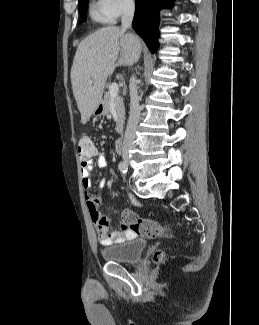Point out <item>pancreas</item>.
<instances>
[{
    "label": "pancreas",
    "instance_id": "cf45deb5",
    "mask_svg": "<svg viewBox=\"0 0 259 325\" xmlns=\"http://www.w3.org/2000/svg\"><path fill=\"white\" fill-rule=\"evenodd\" d=\"M104 103L106 107V113H111V104L114 103L115 111L118 117V122L115 130L117 133L122 134L125 121V107L123 98L119 94H117L115 97H112L108 91L104 95Z\"/></svg>",
    "mask_w": 259,
    "mask_h": 325
}]
</instances>
